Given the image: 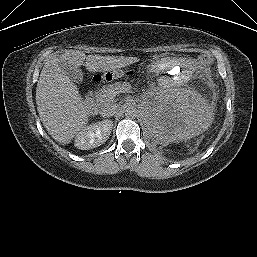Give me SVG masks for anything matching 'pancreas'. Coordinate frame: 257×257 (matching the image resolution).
Masks as SVG:
<instances>
[{
  "mask_svg": "<svg viewBox=\"0 0 257 257\" xmlns=\"http://www.w3.org/2000/svg\"><path fill=\"white\" fill-rule=\"evenodd\" d=\"M118 88H130V84L127 82H115L113 84L102 87L98 92L95 93V102L98 106H103L113 101L116 91Z\"/></svg>",
  "mask_w": 257,
  "mask_h": 257,
  "instance_id": "1",
  "label": "pancreas"
}]
</instances>
